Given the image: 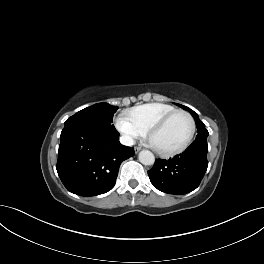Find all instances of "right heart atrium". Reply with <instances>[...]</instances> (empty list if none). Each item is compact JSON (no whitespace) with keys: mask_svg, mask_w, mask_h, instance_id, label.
Returning <instances> with one entry per match:
<instances>
[{"mask_svg":"<svg viewBox=\"0 0 264 264\" xmlns=\"http://www.w3.org/2000/svg\"><path fill=\"white\" fill-rule=\"evenodd\" d=\"M115 125L127 143H133L144 136V133L131 121L127 113L120 114Z\"/></svg>","mask_w":264,"mask_h":264,"instance_id":"obj_1","label":"right heart atrium"}]
</instances>
